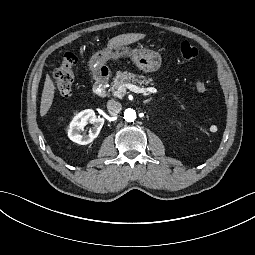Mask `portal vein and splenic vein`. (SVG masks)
<instances>
[{
	"label": "portal vein and splenic vein",
	"instance_id": "portal-vein-and-splenic-vein-1",
	"mask_svg": "<svg viewBox=\"0 0 255 255\" xmlns=\"http://www.w3.org/2000/svg\"><path fill=\"white\" fill-rule=\"evenodd\" d=\"M126 88L129 89L130 91L134 93H142V94H147V93H156L157 89L154 87H147V88H141L133 84H123L118 87L117 91L114 93V95L119 96L122 92L126 91Z\"/></svg>",
	"mask_w": 255,
	"mask_h": 255
}]
</instances>
